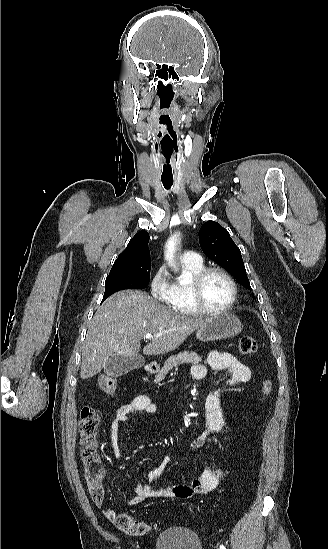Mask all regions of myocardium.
Returning a JSON list of instances; mask_svg holds the SVG:
<instances>
[{"label": "myocardium", "mask_w": 328, "mask_h": 549, "mask_svg": "<svg viewBox=\"0 0 328 549\" xmlns=\"http://www.w3.org/2000/svg\"><path fill=\"white\" fill-rule=\"evenodd\" d=\"M212 272H219L223 274L231 284L232 287V296L230 301L220 309H208L204 308L201 305L205 304L201 297V286L204 279L208 274ZM188 293L191 299L192 304L189 305V308L197 316H223L232 311L234 308L237 299H238V284L230 273V271L220 264H207L197 273L191 276L188 282Z\"/></svg>", "instance_id": "obj_1"}]
</instances>
